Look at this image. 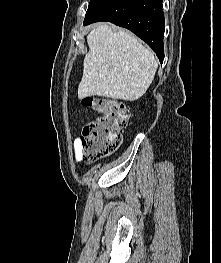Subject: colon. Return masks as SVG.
Segmentation results:
<instances>
[{
    "label": "colon",
    "instance_id": "obj_1",
    "mask_svg": "<svg viewBox=\"0 0 221 263\" xmlns=\"http://www.w3.org/2000/svg\"><path fill=\"white\" fill-rule=\"evenodd\" d=\"M82 105L100 115L83 130L82 153L87 160H97L112 153L121 141V132L129 120L126 106L106 97L86 96Z\"/></svg>",
    "mask_w": 221,
    "mask_h": 263
}]
</instances>
